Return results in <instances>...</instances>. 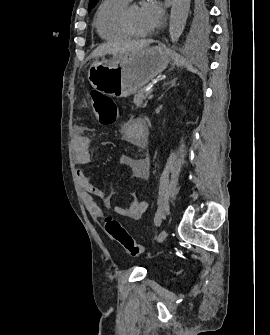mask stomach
<instances>
[{
    "mask_svg": "<svg viewBox=\"0 0 270 335\" xmlns=\"http://www.w3.org/2000/svg\"><path fill=\"white\" fill-rule=\"evenodd\" d=\"M170 52L161 46L144 48L115 56L111 62H93L88 80L99 92L114 98H127L141 90L168 66Z\"/></svg>",
    "mask_w": 270,
    "mask_h": 335,
    "instance_id": "1",
    "label": "stomach"
}]
</instances>
